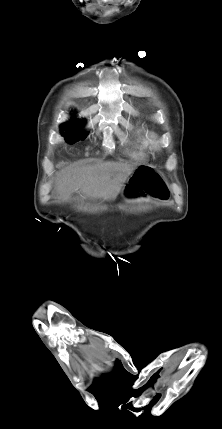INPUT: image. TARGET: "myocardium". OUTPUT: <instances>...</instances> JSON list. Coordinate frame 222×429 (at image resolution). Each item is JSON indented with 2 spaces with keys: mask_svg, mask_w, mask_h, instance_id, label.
Masks as SVG:
<instances>
[{
  "mask_svg": "<svg viewBox=\"0 0 222 429\" xmlns=\"http://www.w3.org/2000/svg\"><path fill=\"white\" fill-rule=\"evenodd\" d=\"M148 146L150 149H152L154 151H158L161 149V143H160L157 135H155V134L149 135Z\"/></svg>",
  "mask_w": 222,
  "mask_h": 429,
  "instance_id": "obj_1",
  "label": "myocardium"
}]
</instances>
